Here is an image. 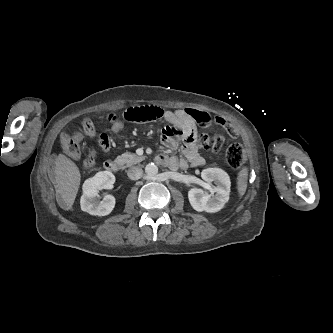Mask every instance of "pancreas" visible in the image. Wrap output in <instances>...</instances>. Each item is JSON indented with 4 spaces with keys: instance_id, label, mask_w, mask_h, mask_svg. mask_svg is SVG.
<instances>
[{
    "instance_id": "obj_1",
    "label": "pancreas",
    "mask_w": 333,
    "mask_h": 333,
    "mask_svg": "<svg viewBox=\"0 0 333 333\" xmlns=\"http://www.w3.org/2000/svg\"><path fill=\"white\" fill-rule=\"evenodd\" d=\"M118 160L124 165V167H131L144 160V157L137 156L133 153H124L118 156Z\"/></svg>"
}]
</instances>
